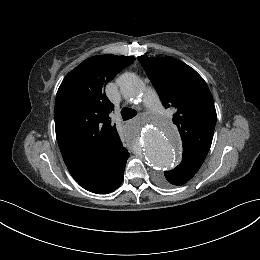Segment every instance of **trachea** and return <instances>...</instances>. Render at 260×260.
I'll list each match as a JSON object with an SVG mask.
<instances>
[{
    "label": "trachea",
    "mask_w": 260,
    "mask_h": 260,
    "mask_svg": "<svg viewBox=\"0 0 260 260\" xmlns=\"http://www.w3.org/2000/svg\"><path fill=\"white\" fill-rule=\"evenodd\" d=\"M137 114V112L133 109H129V108H123L121 110V116L123 120H128L133 118L135 115Z\"/></svg>",
    "instance_id": "3493384b"
}]
</instances>
